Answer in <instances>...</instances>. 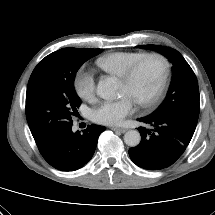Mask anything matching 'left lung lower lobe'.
Here are the masks:
<instances>
[{
	"instance_id": "1",
	"label": "left lung lower lobe",
	"mask_w": 215,
	"mask_h": 215,
	"mask_svg": "<svg viewBox=\"0 0 215 215\" xmlns=\"http://www.w3.org/2000/svg\"><path fill=\"white\" fill-rule=\"evenodd\" d=\"M138 121L152 126L139 127L141 142L129 149L131 160L147 170H160L172 165L188 146L196 125L177 116H146Z\"/></svg>"
}]
</instances>
